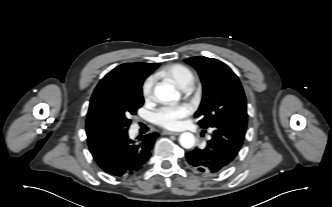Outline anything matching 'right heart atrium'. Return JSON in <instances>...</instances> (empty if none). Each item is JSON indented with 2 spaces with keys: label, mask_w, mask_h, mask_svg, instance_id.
I'll return each mask as SVG.
<instances>
[{
  "label": "right heart atrium",
  "mask_w": 332,
  "mask_h": 207,
  "mask_svg": "<svg viewBox=\"0 0 332 207\" xmlns=\"http://www.w3.org/2000/svg\"><path fill=\"white\" fill-rule=\"evenodd\" d=\"M154 85H155L154 77H148L144 81V83L142 85V95L145 100H149L152 98Z\"/></svg>",
  "instance_id": "right-heart-atrium-1"
}]
</instances>
